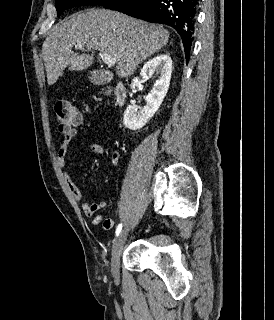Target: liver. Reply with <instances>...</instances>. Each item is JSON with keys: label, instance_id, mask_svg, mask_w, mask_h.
I'll return each mask as SVG.
<instances>
[{"label": "liver", "instance_id": "liver-1", "mask_svg": "<svg viewBox=\"0 0 274 320\" xmlns=\"http://www.w3.org/2000/svg\"><path fill=\"white\" fill-rule=\"evenodd\" d=\"M163 26L148 24L112 10H83L56 24L42 46L48 86H53L64 70H86L94 62L91 54L103 52L116 58L118 78H128L143 60L162 50L169 40ZM86 48V50H85Z\"/></svg>", "mask_w": 274, "mask_h": 320}]
</instances>
